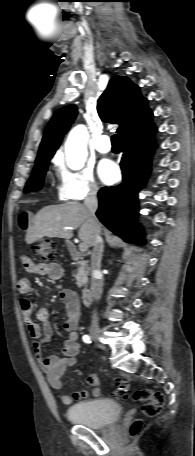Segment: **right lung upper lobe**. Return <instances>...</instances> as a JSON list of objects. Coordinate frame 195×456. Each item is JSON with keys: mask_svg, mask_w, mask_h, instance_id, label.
I'll list each match as a JSON object with an SVG mask.
<instances>
[{"mask_svg": "<svg viewBox=\"0 0 195 456\" xmlns=\"http://www.w3.org/2000/svg\"><path fill=\"white\" fill-rule=\"evenodd\" d=\"M97 110L103 121L119 124L117 132L122 139L152 123L153 114L147 106V99L141 96L138 86L123 76L111 78L98 100ZM76 114L75 105H68L55 113L45 130L36 163L52 158Z\"/></svg>", "mask_w": 195, "mask_h": 456, "instance_id": "cb5924a9", "label": "right lung upper lobe"}]
</instances>
